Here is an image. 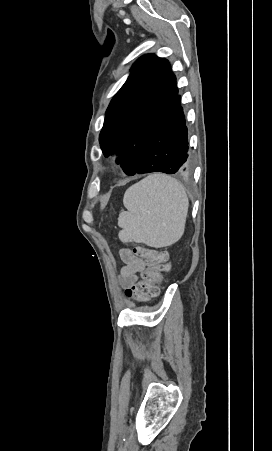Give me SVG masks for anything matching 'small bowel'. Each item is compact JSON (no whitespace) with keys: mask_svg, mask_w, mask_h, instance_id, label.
<instances>
[{"mask_svg":"<svg viewBox=\"0 0 272 451\" xmlns=\"http://www.w3.org/2000/svg\"><path fill=\"white\" fill-rule=\"evenodd\" d=\"M130 248H122L119 252L120 258L125 264L120 271V283L123 287H131L135 280V274L144 269L143 260H134Z\"/></svg>","mask_w":272,"mask_h":451,"instance_id":"obj_1","label":"small bowel"}]
</instances>
